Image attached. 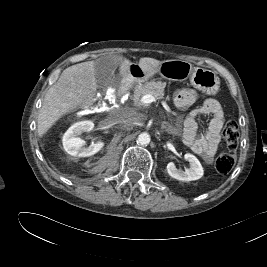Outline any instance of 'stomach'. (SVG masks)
<instances>
[{"instance_id":"obj_1","label":"stomach","mask_w":267,"mask_h":267,"mask_svg":"<svg viewBox=\"0 0 267 267\" xmlns=\"http://www.w3.org/2000/svg\"><path fill=\"white\" fill-rule=\"evenodd\" d=\"M130 70L132 71L131 67ZM158 73L170 80L189 79L197 90L208 95H215L220 87V79L215 72L200 67H193L184 60L163 61L158 69ZM130 75L136 81L146 80L145 73L140 67L137 74Z\"/></svg>"}]
</instances>
